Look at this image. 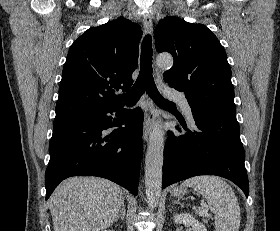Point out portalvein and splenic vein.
<instances>
[{"mask_svg":"<svg viewBox=\"0 0 280 231\" xmlns=\"http://www.w3.org/2000/svg\"><path fill=\"white\" fill-rule=\"evenodd\" d=\"M199 215H203V217H210V213H208L207 205H204V209H199Z\"/></svg>","mask_w":280,"mask_h":231,"instance_id":"1","label":"portal vein and splenic vein"}]
</instances>
